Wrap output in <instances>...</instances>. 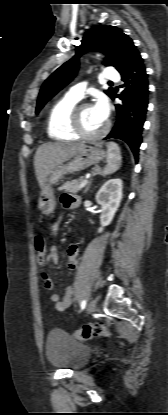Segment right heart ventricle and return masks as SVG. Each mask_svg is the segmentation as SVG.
I'll use <instances>...</instances> for the list:
<instances>
[{
  "instance_id": "obj_1",
  "label": "right heart ventricle",
  "mask_w": 168,
  "mask_h": 415,
  "mask_svg": "<svg viewBox=\"0 0 168 415\" xmlns=\"http://www.w3.org/2000/svg\"><path fill=\"white\" fill-rule=\"evenodd\" d=\"M79 100L63 97L51 109L48 117V135L57 141H73L79 137L71 127V112Z\"/></svg>"
}]
</instances>
